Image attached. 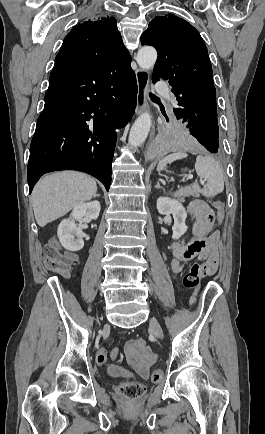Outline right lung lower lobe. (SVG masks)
<instances>
[{
    "instance_id": "obj_1",
    "label": "right lung lower lobe",
    "mask_w": 265,
    "mask_h": 434,
    "mask_svg": "<svg viewBox=\"0 0 265 434\" xmlns=\"http://www.w3.org/2000/svg\"><path fill=\"white\" fill-rule=\"evenodd\" d=\"M130 58L99 66H55L30 145L29 193L56 170L86 172L109 190L115 129L134 113L136 76Z\"/></svg>"
}]
</instances>
